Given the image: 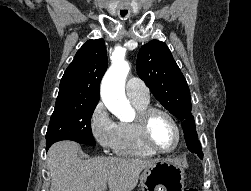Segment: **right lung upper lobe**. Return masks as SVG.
I'll list each match as a JSON object with an SVG mask.
<instances>
[{
	"label": "right lung upper lobe",
	"mask_w": 251,
	"mask_h": 191,
	"mask_svg": "<svg viewBox=\"0 0 251 191\" xmlns=\"http://www.w3.org/2000/svg\"><path fill=\"white\" fill-rule=\"evenodd\" d=\"M106 69L103 39L88 40L77 51L61 79L55 107L98 103L100 81Z\"/></svg>",
	"instance_id": "obj_1"
}]
</instances>
